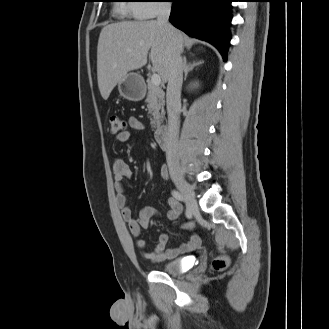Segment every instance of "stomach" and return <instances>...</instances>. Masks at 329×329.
<instances>
[{"label":"stomach","instance_id":"obj_1","mask_svg":"<svg viewBox=\"0 0 329 329\" xmlns=\"http://www.w3.org/2000/svg\"><path fill=\"white\" fill-rule=\"evenodd\" d=\"M120 94L129 101H140L144 98L146 87L143 78L137 73H129L118 84Z\"/></svg>","mask_w":329,"mask_h":329}]
</instances>
